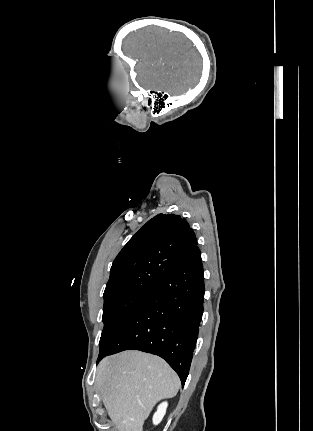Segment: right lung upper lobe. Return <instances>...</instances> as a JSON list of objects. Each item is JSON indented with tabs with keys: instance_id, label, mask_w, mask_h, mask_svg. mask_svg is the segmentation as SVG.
<instances>
[{
	"instance_id": "cb5924a9",
	"label": "right lung upper lobe",
	"mask_w": 313,
	"mask_h": 431,
	"mask_svg": "<svg viewBox=\"0 0 313 431\" xmlns=\"http://www.w3.org/2000/svg\"><path fill=\"white\" fill-rule=\"evenodd\" d=\"M197 247L195 233L179 215L158 214L149 220L115 258L104 296L154 289Z\"/></svg>"
}]
</instances>
